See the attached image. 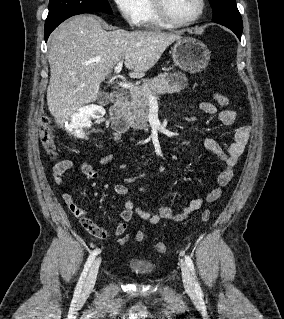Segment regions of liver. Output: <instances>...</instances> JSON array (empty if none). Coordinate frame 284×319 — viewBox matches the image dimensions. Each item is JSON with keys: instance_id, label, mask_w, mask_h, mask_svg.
<instances>
[{"instance_id": "6515ba94", "label": "liver", "mask_w": 284, "mask_h": 319, "mask_svg": "<svg viewBox=\"0 0 284 319\" xmlns=\"http://www.w3.org/2000/svg\"><path fill=\"white\" fill-rule=\"evenodd\" d=\"M179 33L106 31L98 17L78 15L60 24L51 34L48 51L50 82L48 109L63 125L85 105L94 102L100 84L120 61L132 78H142L160 59Z\"/></svg>"}]
</instances>
